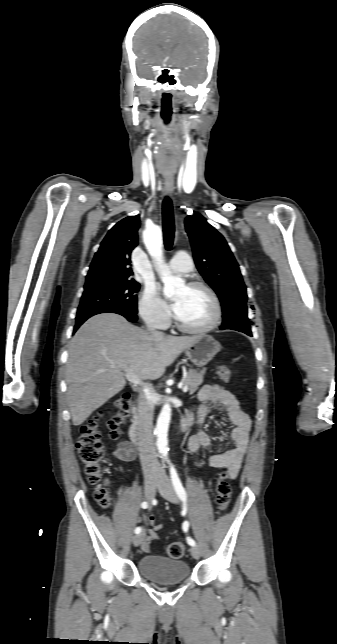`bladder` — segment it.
<instances>
[{
  "mask_svg": "<svg viewBox=\"0 0 337 644\" xmlns=\"http://www.w3.org/2000/svg\"><path fill=\"white\" fill-rule=\"evenodd\" d=\"M138 570L144 578L163 585L181 583L190 575L189 565L185 561L158 555L142 557Z\"/></svg>",
  "mask_w": 337,
  "mask_h": 644,
  "instance_id": "bladder-1",
  "label": "bladder"
}]
</instances>
